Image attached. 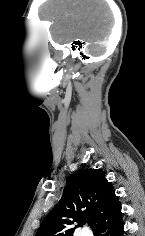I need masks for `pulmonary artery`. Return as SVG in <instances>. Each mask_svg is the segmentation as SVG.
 I'll list each match as a JSON object with an SVG mask.
<instances>
[{
    "label": "pulmonary artery",
    "mask_w": 145,
    "mask_h": 236,
    "mask_svg": "<svg viewBox=\"0 0 145 236\" xmlns=\"http://www.w3.org/2000/svg\"><path fill=\"white\" fill-rule=\"evenodd\" d=\"M82 236H89V234H87V233L84 232V233L82 234Z\"/></svg>",
    "instance_id": "1"
}]
</instances>
